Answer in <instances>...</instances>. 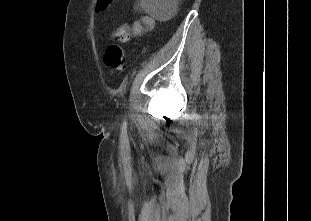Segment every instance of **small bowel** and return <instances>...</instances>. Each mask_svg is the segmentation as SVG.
<instances>
[{"instance_id":"1","label":"small bowel","mask_w":311,"mask_h":221,"mask_svg":"<svg viewBox=\"0 0 311 221\" xmlns=\"http://www.w3.org/2000/svg\"><path fill=\"white\" fill-rule=\"evenodd\" d=\"M155 20L148 15L137 17L132 24L131 31L134 35H141L145 30L152 29Z\"/></svg>"}]
</instances>
